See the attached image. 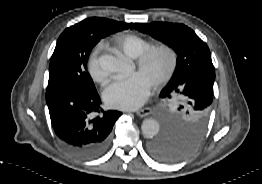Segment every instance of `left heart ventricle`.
<instances>
[{"label":"left heart ventricle","mask_w":262,"mask_h":184,"mask_svg":"<svg viewBox=\"0 0 262 184\" xmlns=\"http://www.w3.org/2000/svg\"><path fill=\"white\" fill-rule=\"evenodd\" d=\"M169 65V56L164 52L156 53L143 70H139L151 83L162 73Z\"/></svg>","instance_id":"b2bd125f"}]
</instances>
